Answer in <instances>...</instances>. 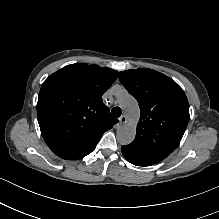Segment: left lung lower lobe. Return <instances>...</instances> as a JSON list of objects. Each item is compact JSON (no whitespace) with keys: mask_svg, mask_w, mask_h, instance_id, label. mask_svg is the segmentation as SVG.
<instances>
[{"mask_svg":"<svg viewBox=\"0 0 219 219\" xmlns=\"http://www.w3.org/2000/svg\"><path fill=\"white\" fill-rule=\"evenodd\" d=\"M122 153L124 157L132 164L136 166H150L153 165L154 163H151L147 160H144L143 158L139 157L129 149H127L125 146L121 147Z\"/></svg>","mask_w":219,"mask_h":219,"instance_id":"0a47b994","label":"left lung lower lobe"}]
</instances>
